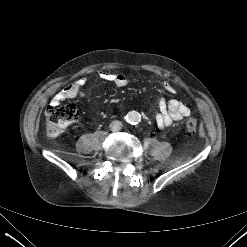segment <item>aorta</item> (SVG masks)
Returning a JSON list of instances; mask_svg holds the SVG:
<instances>
[{
	"label": "aorta",
	"mask_w": 247,
	"mask_h": 247,
	"mask_svg": "<svg viewBox=\"0 0 247 247\" xmlns=\"http://www.w3.org/2000/svg\"><path fill=\"white\" fill-rule=\"evenodd\" d=\"M125 119L128 123L132 125H136L137 123L140 122L141 116L137 111H130L125 116Z\"/></svg>",
	"instance_id": "762f6f07"
}]
</instances>
